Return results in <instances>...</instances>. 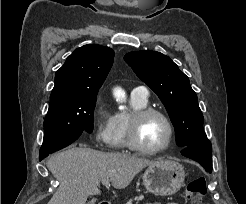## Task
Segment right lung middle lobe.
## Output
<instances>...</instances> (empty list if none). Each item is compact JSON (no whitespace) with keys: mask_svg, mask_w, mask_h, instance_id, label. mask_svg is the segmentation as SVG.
<instances>
[{"mask_svg":"<svg viewBox=\"0 0 246 204\" xmlns=\"http://www.w3.org/2000/svg\"><path fill=\"white\" fill-rule=\"evenodd\" d=\"M96 94L50 101L44 121V139L40 157L58 151L93 131Z\"/></svg>","mask_w":246,"mask_h":204,"instance_id":"1","label":"right lung middle lobe"}]
</instances>
